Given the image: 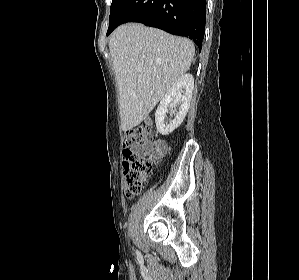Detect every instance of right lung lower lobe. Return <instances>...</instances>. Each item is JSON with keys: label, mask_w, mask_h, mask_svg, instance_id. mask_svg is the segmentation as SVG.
<instances>
[{"label": "right lung lower lobe", "mask_w": 299, "mask_h": 280, "mask_svg": "<svg viewBox=\"0 0 299 280\" xmlns=\"http://www.w3.org/2000/svg\"><path fill=\"white\" fill-rule=\"evenodd\" d=\"M206 0H126L109 35L126 22H139L192 39L201 50L205 32Z\"/></svg>", "instance_id": "1"}]
</instances>
